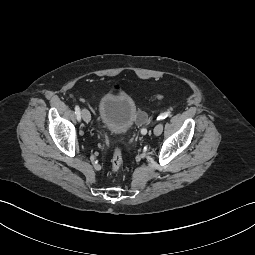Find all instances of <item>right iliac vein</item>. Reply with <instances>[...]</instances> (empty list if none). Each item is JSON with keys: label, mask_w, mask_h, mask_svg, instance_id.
<instances>
[{"label": "right iliac vein", "mask_w": 255, "mask_h": 255, "mask_svg": "<svg viewBox=\"0 0 255 255\" xmlns=\"http://www.w3.org/2000/svg\"><path fill=\"white\" fill-rule=\"evenodd\" d=\"M81 115L85 122L88 123L91 120V115L87 109H82Z\"/></svg>", "instance_id": "63e3f726"}]
</instances>
